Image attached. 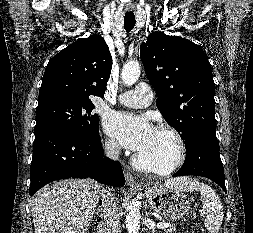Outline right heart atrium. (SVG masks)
Here are the masks:
<instances>
[{
    "mask_svg": "<svg viewBox=\"0 0 253 233\" xmlns=\"http://www.w3.org/2000/svg\"><path fill=\"white\" fill-rule=\"evenodd\" d=\"M105 150L109 155H116L119 151V145L113 138H108L105 141Z\"/></svg>",
    "mask_w": 253,
    "mask_h": 233,
    "instance_id": "1",
    "label": "right heart atrium"
}]
</instances>
